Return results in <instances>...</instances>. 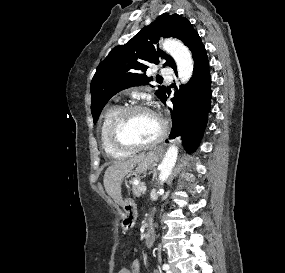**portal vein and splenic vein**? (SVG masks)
<instances>
[{"label": "portal vein and splenic vein", "mask_w": 285, "mask_h": 273, "mask_svg": "<svg viewBox=\"0 0 285 273\" xmlns=\"http://www.w3.org/2000/svg\"><path fill=\"white\" fill-rule=\"evenodd\" d=\"M140 190H141L142 192H145V191H146V187L142 185V186L140 187Z\"/></svg>", "instance_id": "18ae733b"}]
</instances>
